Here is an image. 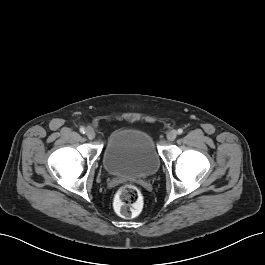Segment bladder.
Returning <instances> with one entry per match:
<instances>
[{
  "label": "bladder",
  "mask_w": 265,
  "mask_h": 265,
  "mask_svg": "<svg viewBox=\"0 0 265 265\" xmlns=\"http://www.w3.org/2000/svg\"><path fill=\"white\" fill-rule=\"evenodd\" d=\"M160 161L151 135L133 126L120 129L108 140L102 159L107 173L130 178L155 174Z\"/></svg>",
  "instance_id": "31cf9c89"
}]
</instances>
